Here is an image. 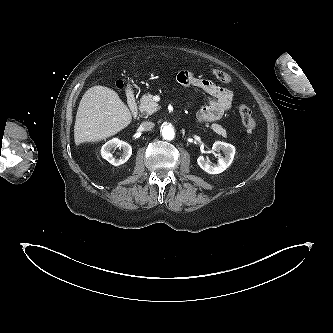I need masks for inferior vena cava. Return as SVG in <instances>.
I'll return each mask as SVG.
<instances>
[{
	"label": "inferior vena cava",
	"mask_w": 333,
	"mask_h": 333,
	"mask_svg": "<svg viewBox=\"0 0 333 333\" xmlns=\"http://www.w3.org/2000/svg\"><path fill=\"white\" fill-rule=\"evenodd\" d=\"M155 126V124L151 121H144L141 123V128L144 130V131H149L151 129H153Z\"/></svg>",
	"instance_id": "1"
}]
</instances>
